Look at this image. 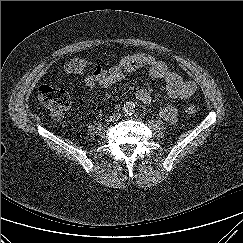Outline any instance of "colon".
Returning a JSON list of instances; mask_svg holds the SVG:
<instances>
[{
    "label": "colon",
    "instance_id": "colon-1",
    "mask_svg": "<svg viewBox=\"0 0 243 243\" xmlns=\"http://www.w3.org/2000/svg\"><path fill=\"white\" fill-rule=\"evenodd\" d=\"M91 67V63L83 58H73L62 65L67 73H81ZM39 100L46 112L55 120H60L70 108V97L65 90L54 88L49 85H42L39 88ZM188 115H194L197 107L188 104L185 108Z\"/></svg>",
    "mask_w": 243,
    "mask_h": 243
}]
</instances>
